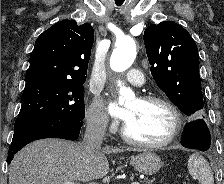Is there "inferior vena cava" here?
I'll list each match as a JSON object with an SVG mask.
<instances>
[{
  "instance_id": "1",
  "label": "inferior vena cava",
  "mask_w": 224,
  "mask_h": 184,
  "mask_svg": "<svg viewBox=\"0 0 224 184\" xmlns=\"http://www.w3.org/2000/svg\"><path fill=\"white\" fill-rule=\"evenodd\" d=\"M107 121L102 116L88 120L84 139L80 144L85 154H91L101 147L106 131Z\"/></svg>"
}]
</instances>
